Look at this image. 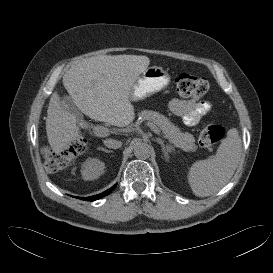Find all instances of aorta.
Wrapping results in <instances>:
<instances>
[{"label":"aorta","mask_w":273,"mask_h":273,"mask_svg":"<svg viewBox=\"0 0 273 273\" xmlns=\"http://www.w3.org/2000/svg\"><path fill=\"white\" fill-rule=\"evenodd\" d=\"M151 154V147L147 143H137L134 146V155L138 159H147L150 157Z\"/></svg>","instance_id":"aorta-1"}]
</instances>
